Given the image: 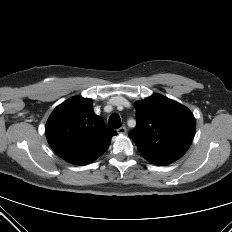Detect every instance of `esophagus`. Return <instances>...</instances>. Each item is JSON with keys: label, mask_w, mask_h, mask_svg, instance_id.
I'll use <instances>...</instances> for the list:
<instances>
[{"label": "esophagus", "mask_w": 232, "mask_h": 232, "mask_svg": "<svg viewBox=\"0 0 232 232\" xmlns=\"http://www.w3.org/2000/svg\"><path fill=\"white\" fill-rule=\"evenodd\" d=\"M117 132H118V134H121V135H123V134H126V132H127V129H126V127H120L118 130H117Z\"/></svg>", "instance_id": "1"}]
</instances>
